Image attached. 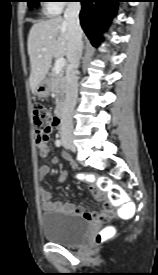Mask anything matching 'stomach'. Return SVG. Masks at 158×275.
Returning a JSON list of instances; mask_svg holds the SVG:
<instances>
[{"mask_svg": "<svg viewBox=\"0 0 158 275\" xmlns=\"http://www.w3.org/2000/svg\"><path fill=\"white\" fill-rule=\"evenodd\" d=\"M50 88H49V79L45 78L43 81L37 86L35 89L34 94L39 98H45L49 95Z\"/></svg>", "mask_w": 158, "mask_h": 275, "instance_id": "0dacf381", "label": "stomach"}]
</instances>
